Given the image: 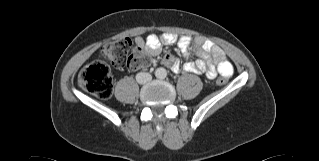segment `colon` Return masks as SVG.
<instances>
[{"label":"colon","mask_w":319,"mask_h":161,"mask_svg":"<svg viewBox=\"0 0 319 161\" xmlns=\"http://www.w3.org/2000/svg\"><path fill=\"white\" fill-rule=\"evenodd\" d=\"M102 54L117 68L138 70L151 64V59L145 49L134 44L129 38H120L105 43ZM79 85L86 91L100 98L111 96L113 91L112 75L109 67L95 60L85 65L78 77ZM217 83H225L219 78Z\"/></svg>","instance_id":"colon-1"}]
</instances>
